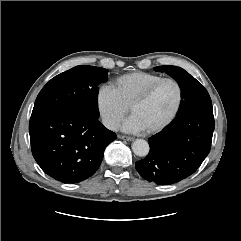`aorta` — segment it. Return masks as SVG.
Wrapping results in <instances>:
<instances>
[{"label":"aorta","instance_id":"aorta-1","mask_svg":"<svg viewBox=\"0 0 241 241\" xmlns=\"http://www.w3.org/2000/svg\"><path fill=\"white\" fill-rule=\"evenodd\" d=\"M132 151L139 157H145L149 153V144L143 139H136L132 143Z\"/></svg>","mask_w":241,"mask_h":241}]
</instances>
